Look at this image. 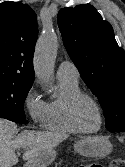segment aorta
Returning <instances> with one entry per match:
<instances>
[{
    "instance_id": "obj_1",
    "label": "aorta",
    "mask_w": 125,
    "mask_h": 167,
    "mask_svg": "<svg viewBox=\"0 0 125 167\" xmlns=\"http://www.w3.org/2000/svg\"><path fill=\"white\" fill-rule=\"evenodd\" d=\"M57 46V36L52 31L44 32L36 44L34 70L36 77L46 85L50 84L53 75Z\"/></svg>"
}]
</instances>
